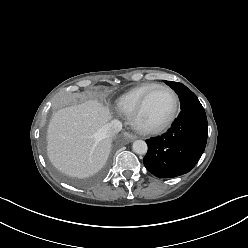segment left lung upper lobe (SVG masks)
<instances>
[{
	"label": "left lung upper lobe",
	"mask_w": 248,
	"mask_h": 248,
	"mask_svg": "<svg viewBox=\"0 0 248 248\" xmlns=\"http://www.w3.org/2000/svg\"><path fill=\"white\" fill-rule=\"evenodd\" d=\"M164 82L167 85H169L173 90H175V92L178 94L181 103V109H184L199 102L195 94L192 91H190L185 85L179 82H171V81H164Z\"/></svg>",
	"instance_id": "obj_1"
}]
</instances>
